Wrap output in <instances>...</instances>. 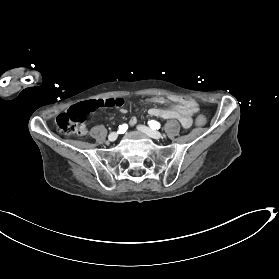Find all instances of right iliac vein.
I'll return each mask as SVG.
<instances>
[{"mask_svg":"<svg viewBox=\"0 0 279 279\" xmlns=\"http://www.w3.org/2000/svg\"><path fill=\"white\" fill-rule=\"evenodd\" d=\"M117 137H118V133L112 132L109 134L108 139H109V141H115L117 139Z\"/></svg>","mask_w":279,"mask_h":279,"instance_id":"1","label":"right iliac vein"}]
</instances>
